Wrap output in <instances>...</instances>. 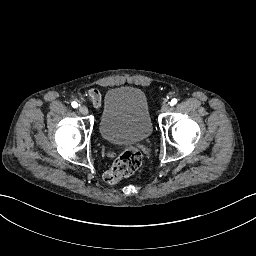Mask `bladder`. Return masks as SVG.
Returning a JSON list of instances; mask_svg holds the SVG:
<instances>
[{
    "mask_svg": "<svg viewBox=\"0 0 256 256\" xmlns=\"http://www.w3.org/2000/svg\"><path fill=\"white\" fill-rule=\"evenodd\" d=\"M149 106L144 93L134 87L115 86L104 96L100 137L121 145L146 141L151 134Z\"/></svg>",
    "mask_w": 256,
    "mask_h": 256,
    "instance_id": "1",
    "label": "bladder"
}]
</instances>
